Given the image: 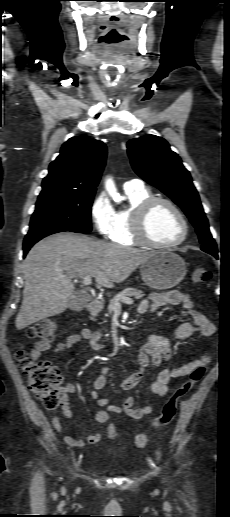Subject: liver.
I'll return each mask as SVG.
<instances>
[{
	"label": "liver",
	"mask_w": 230,
	"mask_h": 517,
	"mask_svg": "<svg viewBox=\"0 0 230 517\" xmlns=\"http://www.w3.org/2000/svg\"><path fill=\"white\" fill-rule=\"evenodd\" d=\"M152 252L106 243L72 233H59L35 244L23 266V301L18 330L64 312L74 294L72 279L91 275L99 286L121 283Z\"/></svg>",
	"instance_id": "liver-1"
}]
</instances>
